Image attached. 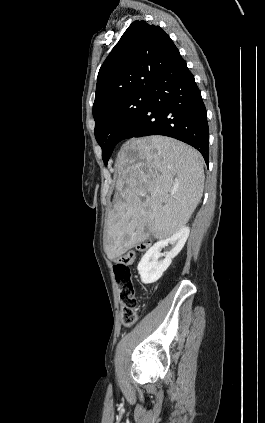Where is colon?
Segmentation results:
<instances>
[{"mask_svg":"<svg viewBox=\"0 0 265 423\" xmlns=\"http://www.w3.org/2000/svg\"><path fill=\"white\" fill-rule=\"evenodd\" d=\"M149 244L142 243L138 245V250L143 251ZM135 259L133 250L127 251L114 262L113 271L115 279L120 288V302L122 304L121 318L124 326H131L137 320L136 308L138 300L135 295V289L132 282V272L130 265Z\"/></svg>","mask_w":265,"mask_h":423,"instance_id":"5ec220e1","label":"colon"}]
</instances>
